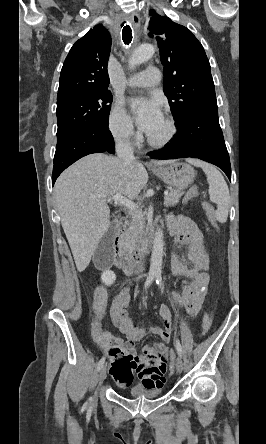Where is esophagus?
Here are the masks:
<instances>
[{"instance_id":"1","label":"esophagus","mask_w":266,"mask_h":444,"mask_svg":"<svg viewBox=\"0 0 266 444\" xmlns=\"http://www.w3.org/2000/svg\"><path fill=\"white\" fill-rule=\"evenodd\" d=\"M130 21L132 22V24L134 25L135 28H138L140 26V21H141L138 13L131 14Z\"/></svg>"}]
</instances>
